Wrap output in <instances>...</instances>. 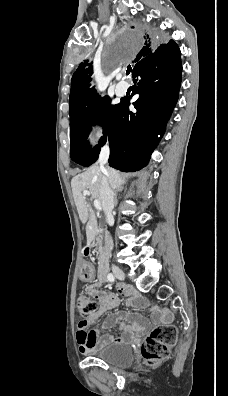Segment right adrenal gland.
<instances>
[{"mask_svg": "<svg viewBox=\"0 0 228 396\" xmlns=\"http://www.w3.org/2000/svg\"><path fill=\"white\" fill-rule=\"evenodd\" d=\"M119 192H122V188L116 189L114 191V203H115V206L117 205V195H118Z\"/></svg>", "mask_w": 228, "mask_h": 396, "instance_id": "1", "label": "right adrenal gland"}]
</instances>
